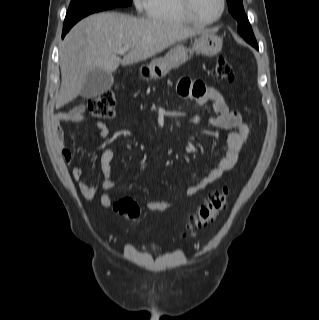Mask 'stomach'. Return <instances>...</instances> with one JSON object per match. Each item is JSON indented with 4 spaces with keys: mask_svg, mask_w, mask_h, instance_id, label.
Listing matches in <instances>:
<instances>
[{
    "mask_svg": "<svg viewBox=\"0 0 319 320\" xmlns=\"http://www.w3.org/2000/svg\"><path fill=\"white\" fill-rule=\"evenodd\" d=\"M222 45L220 36L213 31H204L195 36L191 48L179 42L163 58L153 59L146 67L147 75L155 80L164 78L172 69L185 63L193 52L212 57L221 51Z\"/></svg>",
    "mask_w": 319,
    "mask_h": 320,
    "instance_id": "1",
    "label": "stomach"
}]
</instances>
